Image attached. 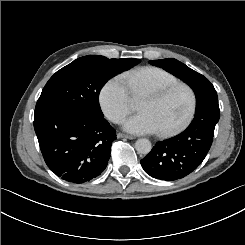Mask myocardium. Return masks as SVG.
Wrapping results in <instances>:
<instances>
[{"label":"myocardium","mask_w":245,"mask_h":245,"mask_svg":"<svg viewBox=\"0 0 245 245\" xmlns=\"http://www.w3.org/2000/svg\"><path fill=\"white\" fill-rule=\"evenodd\" d=\"M178 89H184L187 92L189 99L188 109L183 118L175 125L170 128L159 130V134L162 136L175 134L180 129H182L192 118L196 104V98L193 89L188 84L181 82L168 86L150 85L146 87L140 95V97L153 95L157 101H162Z\"/></svg>","instance_id":"obj_1"}]
</instances>
